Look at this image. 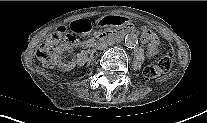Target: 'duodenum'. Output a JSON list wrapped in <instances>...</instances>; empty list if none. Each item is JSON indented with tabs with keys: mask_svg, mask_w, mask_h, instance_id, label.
Here are the masks:
<instances>
[{
	"mask_svg": "<svg viewBox=\"0 0 207 123\" xmlns=\"http://www.w3.org/2000/svg\"><path fill=\"white\" fill-rule=\"evenodd\" d=\"M122 35H123V32H117V31L104 32V33L98 34L93 39L89 40L87 42V46H94L100 42L114 40V39L121 37Z\"/></svg>",
	"mask_w": 207,
	"mask_h": 123,
	"instance_id": "1",
	"label": "duodenum"
}]
</instances>
